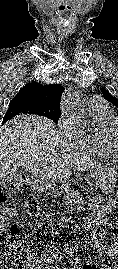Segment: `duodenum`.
<instances>
[{
	"mask_svg": "<svg viewBox=\"0 0 118 269\" xmlns=\"http://www.w3.org/2000/svg\"><path fill=\"white\" fill-rule=\"evenodd\" d=\"M27 182L30 184V185H32L34 182H35V177H33V176H29V177H27ZM32 213V212H31ZM32 214H34V216L37 218V219H39L41 216L39 215V214H37L36 212H34V213H32Z\"/></svg>",
	"mask_w": 118,
	"mask_h": 269,
	"instance_id": "obj_1",
	"label": "duodenum"
}]
</instances>
